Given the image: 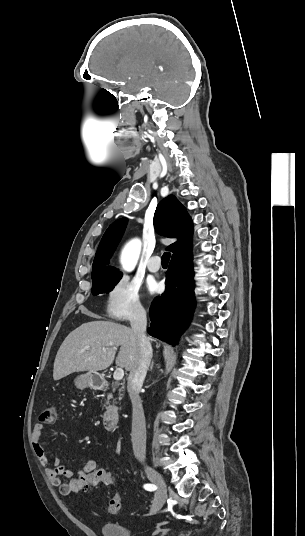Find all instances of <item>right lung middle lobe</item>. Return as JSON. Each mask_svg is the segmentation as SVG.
<instances>
[{"mask_svg":"<svg viewBox=\"0 0 305 536\" xmlns=\"http://www.w3.org/2000/svg\"><path fill=\"white\" fill-rule=\"evenodd\" d=\"M121 277L122 275L111 277V278L92 280L93 295H97L100 293H109L110 291H112L114 286L119 282Z\"/></svg>","mask_w":305,"mask_h":536,"instance_id":"dd1d6c3e","label":"right lung middle lobe"}]
</instances>
